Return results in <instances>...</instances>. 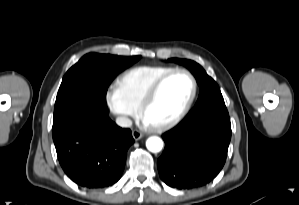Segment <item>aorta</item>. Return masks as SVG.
I'll list each match as a JSON object with an SVG mask.
<instances>
[{"mask_svg": "<svg viewBox=\"0 0 299 205\" xmlns=\"http://www.w3.org/2000/svg\"><path fill=\"white\" fill-rule=\"evenodd\" d=\"M146 147L153 153L160 152L163 148V141L157 136L149 137L146 141Z\"/></svg>", "mask_w": 299, "mask_h": 205, "instance_id": "aorta-1", "label": "aorta"}]
</instances>
